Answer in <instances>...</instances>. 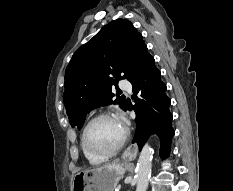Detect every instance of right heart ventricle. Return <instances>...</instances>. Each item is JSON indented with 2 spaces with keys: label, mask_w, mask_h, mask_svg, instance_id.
I'll use <instances>...</instances> for the list:
<instances>
[{
  "label": "right heart ventricle",
  "mask_w": 233,
  "mask_h": 191,
  "mask_svg": "<svg viewBox=\"0 0 233 191\" xmlns=\"http://www.w3.org/2000/svg\"><path fill=\"white\" fill-rule=\"evenodd\" d=\"M81 147H82V151L85 155V157L87 158V160L91 163H100L103 159H100V158H95V157H92L90 156L83 148V145H82V138H81Z\"/></svg>",
  "instance_id": "obj_1"
}]
</instances>
